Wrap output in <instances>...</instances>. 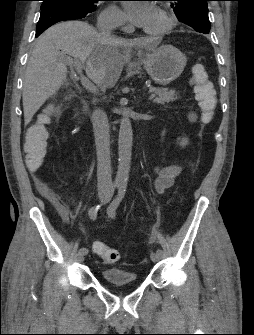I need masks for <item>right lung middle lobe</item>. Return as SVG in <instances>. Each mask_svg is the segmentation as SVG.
I'll use <instances>...</instances> for the list:
<instances>
[{"label":"right lung middle lobe","instance_id":"right-lung-middle-lobe-1","mask_svg":"<svg viewBox=\"0 0 254 335\" xmlns=\"http://www.w3.org/2000/svg\"><path fill=\"white\" fill-rule=\"evenodd\" d=\"M41 10L49 7H66L81 14H88L96 9V3L100 0H42Z\"/></svg>","mask_w":254,"mask_h":335}]
</instances>
